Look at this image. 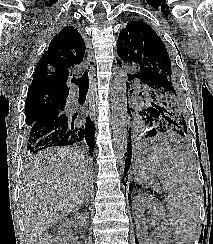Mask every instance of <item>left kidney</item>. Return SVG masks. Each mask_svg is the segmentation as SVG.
Wrapping results in <instances>:
<instances>
[{
  "label": "left kidney",
  "mask_w": 213,
  "mask_h": 244,
  "mask_svg": "<svg viewBox=\"0 0 213 244\" xmlns=\"http://www.w3.org/2000/svg\"><path fill=\"white\" fill-rule=\"evenodd\" d=\"M132 209L136 226L140 230V244H172L162 206L154 198L151 196L139 195L134 198ZM146 210L152 214L156 225L157 235L155 241H152L145 232Z\"/></svg>",
  "instance_id": "left-kidney-1"
}]
</instances>
